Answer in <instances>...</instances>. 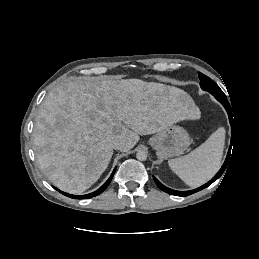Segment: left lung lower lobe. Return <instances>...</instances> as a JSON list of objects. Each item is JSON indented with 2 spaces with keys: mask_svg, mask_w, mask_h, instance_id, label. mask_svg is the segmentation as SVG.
<instances>
[{
  "mask_svg": "<svg viewBox=\"0 0 259 259\" xmlns=\"http://www.w3.org/2000/svg\"><path fill=\"white\" fill-rule=\"evenodd\" d=\"M215 98L221 102V104L225 107V109L227 110L228 112V115H229V119H230V123L232 125V120H231V108H230V104L225 96V94L223 95H218V94H215L214 95ZM232 143H233V133H232V138H231V146H232ZM231 146H230V149L228 151V155H227V158L223 164V166L221 167V169L219 170V172L213 177L212 180H210L208 183L204 184L203 186L197 188V189H194V190H190V191H176V190H172L170 188H167L165 187L163 184H161L154 176V180L156 182V184L158 185V187L163 190L164 192L166 193H169V194H172V195H176V196H188V195H191L197 191H200L202 189H204L205 187H208L210 184H212L215 180H217L224 172L227 164H228V161H229V156H230V151H231Z\"/></svg>",
  "mask_w": 259,
  "mask_h": 259,
  "instance_id": "obj_1",
  "label": "left lung lower lobe"
}]
</instances>
